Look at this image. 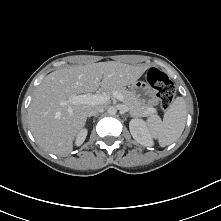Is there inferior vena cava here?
Instances as JSON below:
<instances>
[{"label":"inferior vena cava","instance_id":"602c4592","mask_svg":"<svg viewBox=\"0 0 221 221\" xmlns=\"http://www.w3.org/2000/svg\"><path fill=\"white\" fill-rule=\"evenodd\" d=\"M103 111V107L97 106L88 112V117L94 116Z\"/></svg>","mask_w":221,"mask_h":221}]
</instances>
